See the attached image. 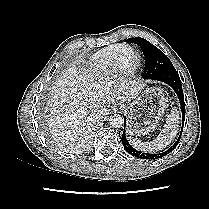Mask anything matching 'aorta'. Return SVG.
<instances>
[{
	"instance_id": "1",
	"label": "aorta",
	"mask_w": 209,
	"mask_h": 209,
	"mask_svg": "<svg viewBox=\"0 0 209 209\" xmlns=\"http://www.w3.org/2000/svg\"><path fill=\"white\" fill-rule=\"evenodd\" d=\"M108 123L112 128H120L124 124V119L119 114H113L109 116Z\"/></svg>"
}]
</instances>
